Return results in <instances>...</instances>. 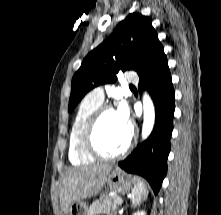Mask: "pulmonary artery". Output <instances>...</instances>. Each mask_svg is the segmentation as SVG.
<instances>
[{
	"label": "pulmonary artery",
	"instance_id": "pulmonary-artery-1",
	"mask_svg": "<svg viewBox=\"0 0 221 215\" xmlns=\"http://www.w3.org/2000/svg\"><path fill=\"white\" fill-rule=\"evenodd\" d=\"M127 82L136 84L138 83V77L135 73H129L126 77ZM92 98L103 102L104 101V92L102 88H95L93 91L89 94Z\"/></svg>",
	"mask_w": 221,
	"mask_h": 215
}]
</instances>
